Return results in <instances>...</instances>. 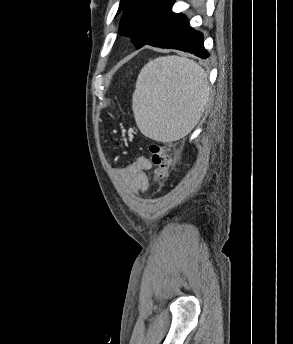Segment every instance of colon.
Here are the masks:
<instances>
[{"instance_id": "1", "label": "colon", "mask_w": 293, "mask_h": 344, "mask_svg": "<svg viewBox=\"0 0 293 344\" xmlns=\"http://www.w3.org/2000/svg\"><path fill=\"white\" fill-rule=\"evenodd\" d=\"M151 163L154 167L153 180L155 183L165 181L172 165L170 147L166 144L153 143L149 147Z\"/></svg>"}]
</instances>
